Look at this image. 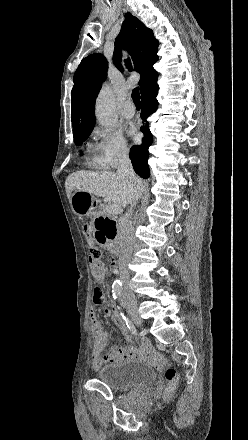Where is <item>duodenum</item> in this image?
I'll use <instances>...</instances> for the list:
<instances>
[{
	"mask_svg": "<svg viewBox=\"0 0 248 440\" xmlns=\"http://www.w3.org/2000/svg\"><path fill=\"white\" fill-rule=\"evenodd\" d=\"M110 252H111L112 255L118 256V254H119V247H118V245L114 244V246H111L110 247Z\"/></svg>",
	"mask_w": 248,
	"mask_h": 440,
	"instance_id": "1",
	"label": "duodenum"
}]
</instances>
